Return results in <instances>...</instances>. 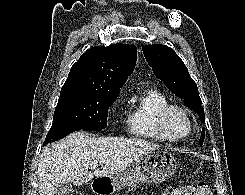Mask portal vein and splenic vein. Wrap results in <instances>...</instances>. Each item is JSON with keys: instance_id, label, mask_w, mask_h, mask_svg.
<instances>
[{"instance_id": "18ae733b", "label": "portal vein and splenic vein", "mask_w": 245, "mask_h": 195, "mask_svg": "<svg viewBox=\"0 0 245 195\" xmlns=\"http://www.w3.org/2000/svg\"><path fill=\"white\" fill-rule=\"evenodd\" d=\"M98 167V165H92L90 168L91 169H96Z\"/></svg>"}]
</instances>
